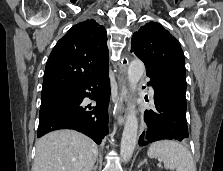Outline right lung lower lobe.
<instances>
[{"instance_id":"98d812e1","label":"right lung lower lobe","mask_w":223,"mask_h":171,"mask_svg":"<svg viewBox=\"0 0 223 171\" xmlns=\"http://www.w3.org/2000/svg\"><path fill=\"white\" fill-rule=\"evenodd\" d=\"M85 97L96 101L92 111H85L82 106ZM41 98L37 137L58 129H74L100 144L108 134L110 86L107 70L84 85L55 91Z\"/></svg>"}]
</instances>
